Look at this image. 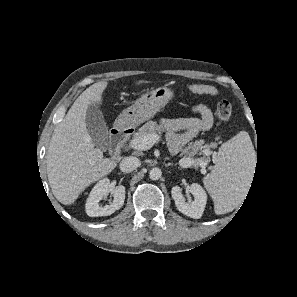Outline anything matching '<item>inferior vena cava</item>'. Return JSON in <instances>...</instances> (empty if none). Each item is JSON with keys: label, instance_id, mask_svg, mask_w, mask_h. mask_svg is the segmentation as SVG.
I'll return each mask as SVG.
<instances>
[{"label": "inferior vena cava", "instance_id": "inferior-vena-cava-1", "mask_svg": "<svg viewBox=\"0 0 297 297\" xmlns=\"http://www.w3.org/2000/svg\"><path fill=\"white\" fill-rule=\"evenodd\" d=\"M140 165V160L137 157H125L120 163V170L125 173L134 171Z\"/></svg>", "mask_w": 297, "mask_h": 297}]
</instances>
